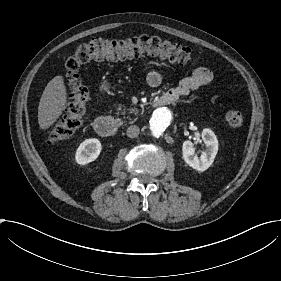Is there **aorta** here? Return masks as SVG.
Instances as JSON below:
<instances>
[{
    "mask_svg": "<svg viewBox=\"0 0 281 281\" xmlns=\"http://www.w3.org/2000/svg\"><path fill=\"white\" fill-rule=\"evenodd\" d=\"M172 122V114L166 107L157 108L150 120V129L155 137H159Z\"/></svg>",
    "mask_w": 281,
    "mask_h": 281,
    "instance_id": "762f6f07",
    "label": "aorta"
}]
</instances>
